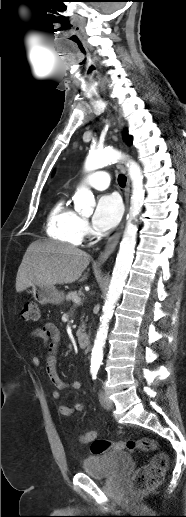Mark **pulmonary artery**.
<instances>
[{
    "mask_svg": "<svg viewBox=\"0 0 186 517\" xmlns=\"http://www.w3.org/2000/svg\"><path fill=\"white\" fill-rule=\"evenodd\" d=\"M83 182L94 189L104 190L109 186L110 177L106 172H94L87 176Z\"/></svg>",
    "mask_w": 186,
    "mask_h": 517,
    "instance_id": "obj_1",
    "label": "pulmonary artery"
}]
</instances>
